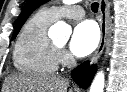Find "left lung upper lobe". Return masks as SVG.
<instances>
[{
  "label": "left lung upper lobe",
  "instance_id": "obj_1",
  "mask_svg": "<svg viewBox=\"0 0 127 92\" xmlns=\"http://www.w3.org/2000/svg\"><path fill=\"white\" fill-rule=\"evenodd\" d=\"M47 1L49 0H28L26 2L24 8L22 9V12L20 13L16 21V26H15V30H14L12 39L16 37V35L20 31L22 25L24 24L28 16L31 14V12L35 10L37 7H39L40 4L45 3Z\"/></svg>",
  "mask_w": 127,
  "mask_h": 92
}]
</instances>
